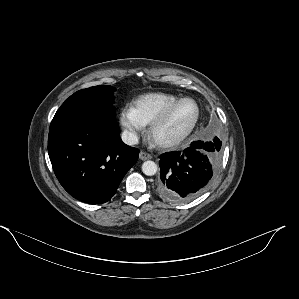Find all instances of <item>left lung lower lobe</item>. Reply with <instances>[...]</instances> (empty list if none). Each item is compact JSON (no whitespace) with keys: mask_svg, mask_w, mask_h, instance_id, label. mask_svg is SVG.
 <instances>
[{"mask_svg":"<svg viewBox=\"0 0 299 299\" xmlns=\"http://www.w3.org/2000/svg\"><path fill=\"white\" fill-rule=\"evenodd\" d=\"M221 160L214 142L194 141L183 152L160 156L159 194L174 203L187 202L203 193L212 182Z\"/></svg>","mask_w":299,"mask_h":299,"instance_id":"0a47b994","label":"left lung lower lobe"}]
</instances>
